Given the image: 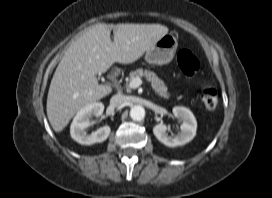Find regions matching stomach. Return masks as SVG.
<instances>
[{"mask_svg": "<svg viewBox=\"0 0 272 198\" xmlns=\"http://www.w3.org/2000/svg\"><path fill=\"white\" fill-rule=\"evenodd\" d=\"M177 46L176 37L172 34H166L146 51L145 60L150 64H167L173 59Z\"/></svg>", "mask_w": 272, "mask_h": 198, "instance_id": "1", "label": "stomach"}]
</instances>
